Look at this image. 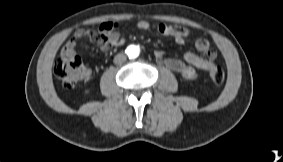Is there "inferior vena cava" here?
Listing matches in <instances>:
<instances>
[{"mask_svg": "<svg viewBox=\"0 0 283 162\" xmlns=\"http://www.w3.org/2000/svg\"><path fill=\"white\" fill-rule=\"evenodd\" d=\"M126 61V56L122 53H119L117 54L115 57H114V63L116 65H119V64H122Z\"/></svg>", "mask_w": 283, "mask_h": 162, "instance_id": "obj_1", "label": "inferior vena cava"}]
</instances>
